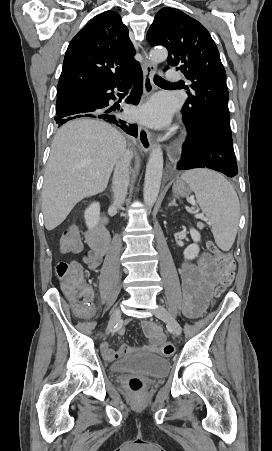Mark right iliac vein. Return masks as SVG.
Instances as JSON below:
<instances>
[{
  "instance_id": "obj_1",
  "label": "right iliac vein",
  "mask_w": 272,
  "mask_h": 451,
  "mask_svg": "<svg viewBox=\"0 0 272 451\" xmlns=\"http://www.w3.org/2000/svg\"><path fill=\"white\" fill-rule=\"evenodd\" d=\"M120 317H121L120 309L119 308L114 309L111 314V317H110V320H109V323H108V326L106 329L107 334L110 333V331L113 329L115 323L120 319Z\"/></svg>"
}]
</instances>
